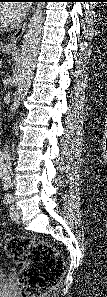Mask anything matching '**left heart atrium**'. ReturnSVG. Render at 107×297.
<instances>
[{
  "mask_svg": "<svg viewBox=\"0 0 107 297\" xmlns=\"http://www.w3.org/2000/svg\"><path fill=\"white\" fill-rule=\"evenodd\" d=\"M27 5L23 3L10 4L4 11L5 17L8 22L15 23L19 21L26 13Z\"/></svg>",
  "mask_w": 107,
  "mask_h": 297,
  "instance_id": "left-heart-atrium-1",
  "label": "left heart atrium"
}]
</instances>
